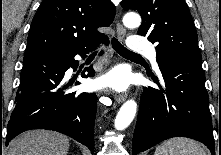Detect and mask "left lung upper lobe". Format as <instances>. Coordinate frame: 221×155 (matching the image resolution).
I'll return each instance as SVG.
<instances>
[{
    "label": "left lung upper lobe",
    "mask_w": 221,
    "mask_h": 155,
    "mask_svg": "<svg viewBox=\"0 0 221 155\" xmlns=\"http://www.w3.org/2000/svg\"><path fill=\"white\" fill-rule=\"evenodd\" d=\"M121 6L140 13L138 34L156 44L157 58L174 54L201 59L196 29L184 0H122Z\"/></svg>",
    "instance_id": "left-lung-upper-lobe-1"
}]
</instances>
